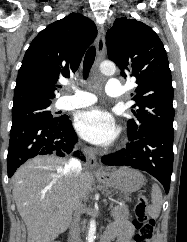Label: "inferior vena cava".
Instances as JSON below:
<instances>
[{
    "instance_id": "inferior-vena-cava-1",
    "label": "inferior vena cava",
    "mask_w": 187,
    "mask_h": 242,
    "mask_svg": "<svg viewBox=\"0 0 187 242\" xmlns=\"http://www.w3.org/2000/svg\"><path fill=\"white\" fill-rule=\"evenodd\" d=\"M81 163L76 158H71L66 166V174L72 179H76L81 174ZM75 214L70 226L69 242H82L80 237V215L82 212V203L78 202L75 207Z\"/></svg>"
}]
</instances>
